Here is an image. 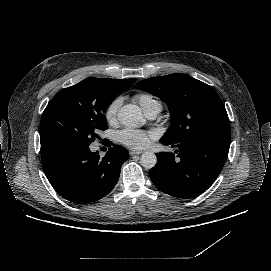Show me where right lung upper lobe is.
Instances as JSON below:
<instances>
[{
	"label": "right lung upper lobe",
	"instance_id": "cb5924a9",
	"mask_svg": "<svg viewBox=\"0 0 271 271\" xmlns=\"http://www.w3.org/2000/svg\"><path fill=\"white\" fill-rule=\"evenodd\" d=\"M135 81L136 78L122 80L88 78L68 88L81 89L87 97L96 102L106 99L110 96L111 93H122L127 88H129Z\"/></svg>",
	"mask_w": 271,
	"mask_h": 271
}]
</instances>
